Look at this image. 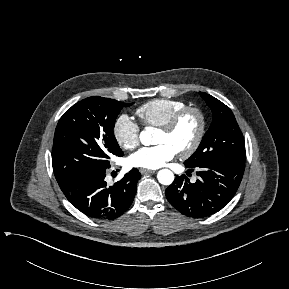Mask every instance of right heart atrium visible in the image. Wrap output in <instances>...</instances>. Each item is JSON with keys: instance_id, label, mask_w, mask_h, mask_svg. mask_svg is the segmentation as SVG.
Wrapping results in <instances>:
<instances>
[{"instance_id": "right-heart-atrium-1", "label": "right heart atrium", "mask_w": 289, "mask_h": 289, "mask_svg": "<svg viewBox=\"0 0 289 289\" xmlns=\"http://www.w3.org/2000/svg\"><path fill=\"white\" fill-rule=\"evenodd\" d=\"M113 135L119 146L125 150L135 149L140 142L139 126L127 114H122L115 120Z\"/></svg>"}]
</instances>
